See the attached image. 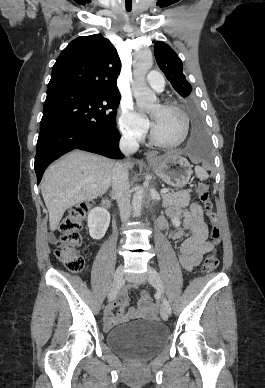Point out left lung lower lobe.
I'll use <instances>...</instances> for the list:
<instances>
[{"label":"left lung lower lobe","mask_w":265,"mask_h":388,"mask_svg":"<svg viewBox=\"0 0 265 388\" xmlns=\"http://www.w3.org/2000/svg\"><path fill=\"white\" fill-rule=\"evenodd\" d=\"M190 117L191 132L186 150L194 157L208 159L210 156L209 139L201 115L196 109H191Z\"/></svg>","instance_id":"obj_1"}]
</instances>
